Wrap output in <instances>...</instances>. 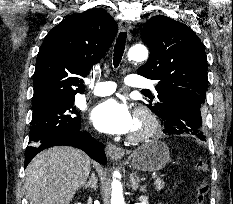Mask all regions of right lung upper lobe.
<instances>
[{
    "label": "right lung upper lobe",
    "instance_id": "1",
    "mask_svg": "<svg viewBox=\"0 0 233 204\" xmlns=\"http://www.w3.org/2000/svg\"><path fill=\"white\" fill-rule=\"evenodd\" d=\"M117 31L116 21L103 9L69 16L55 26L39 49L32 104L83 93L81 78L105 55Z\"/></svg>",
    "mask_w": 233,
    "mask_h": 204
}]
</instances>
